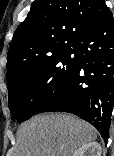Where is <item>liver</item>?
Returning <instances> with one entry per match:
<instances>
[{
	"mask_svg": "<svg viewBox=\"0 0 114 156\" xmlns=\"http://www.w3.org/2000/svg\"><path fill=\"white\" fill-rule=\"evenodd\" d=\"M96 138V129L76 116L40 114L19 128L15 156H71Z\"/></svg>",
	"mask_w": 114,
	"mask_h": 156,
	"instance_id": "liver-1",
	"label": "liver"
}]
</instances>
